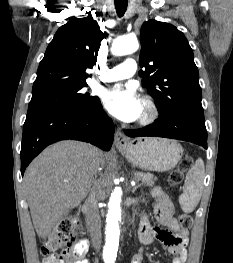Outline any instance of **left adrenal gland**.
I'll return each instance as SVG.
<instances>
[{
  "label": "left adrenal gland",
  "mask_w": 233,
  "mask_h": 263,
  "mask_svg": "<svg viewBox=\"0 0 233 263\" xmlns=\"http://www.w3.org/2000/svg\"><path fill=\"white\" fill-rule=\"evenodd\" d=\"M140 186H141V185H137V186H135V187L133 188V190H132V193H135L136 190H137Z\"/></svg>",
  "instance_id": "1"
}]
</instances>
